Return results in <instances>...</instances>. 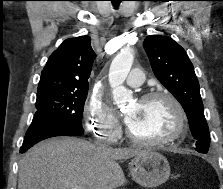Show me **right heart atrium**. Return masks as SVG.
I'll use <instances>...</instances> for the list:
<instances>
[{
    "mask_svg": "<svg viewBox=\"0 0 223 189\" xmlns=\"http://www.w3.org/2000/svg\"><path fill=\"white\" fill-rule=\"evenodd\" d=\"M84 117L95 137L106 141L114 140L119 122L112 108L103 99L91 97L85 104Z\"/></svg>",
    "mask_w": 223,
    "mask_h": 189,
    "instance_id": "1",
    "label": "right heart atrium"
}]
</instances>
